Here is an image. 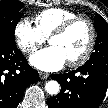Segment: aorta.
Instances as JSON below:
<instances>
[{
  "label": "aorta",
  "mask_w": 108,
  "mask_h": 108,
  "mask_svg": "<svg viewBox=\"0 0 108 108\" xmlns=\"http://www.w3.org/2000/svg\"><path fill=\"white\" fill-rule=\"evenodd\" d=\"M45 90L51 95H56L59 93L60 85L57 81L51 80L45 84Z\"/></svg>",
  "instance_id": "1"
}]
</instances>
